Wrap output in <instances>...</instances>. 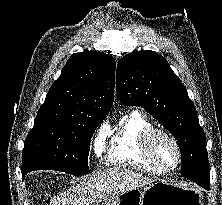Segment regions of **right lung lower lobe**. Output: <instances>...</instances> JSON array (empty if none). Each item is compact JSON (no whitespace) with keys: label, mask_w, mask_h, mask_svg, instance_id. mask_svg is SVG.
Segmentation results:
<instances>
[{"label":"right lung lower lobe","mask_w":222,"mask_h":205,"mask_svg":"<svg viewBox=\"0 0 222 205\" xmlns=\"http://www.w3.org/2000/svg\"><path fill=\"white\" fill-rule=\"evenodd\" d=\"M28 172H30V171L22 169V178L23 179L25 178V174H27Z\"/></svg>","instance_id":"right-lung-lower-lobe-1"}]
</instances>
